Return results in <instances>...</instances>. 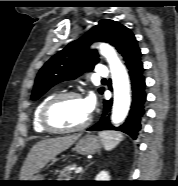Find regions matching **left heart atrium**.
<instances>
[{
  "instance_id": "1",
  "label": "left heart atrium",
  "mask_w": 178,
  "mask_h": 186,
  "mask_svg": "<svg viewBox=\"0 0 178 186\" xmlns=\"http://www.w3.org/2000/svg\"><path fill=\"white\" fill-rule=\"evenodd\" d=\"M85 106L89 113H91L96 106V99L93 94L88 95L85 99H83Z\"/></svg>"
}]
</instances>
